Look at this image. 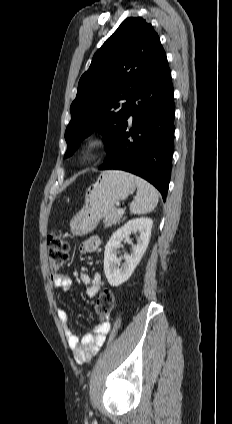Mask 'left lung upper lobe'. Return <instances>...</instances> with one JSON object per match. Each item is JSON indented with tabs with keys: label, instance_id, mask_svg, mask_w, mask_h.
I'll use <instances>...</instances> for the list:
<instances>
[{
	"label": "left lung upper lobe",
	"instance_id": "obj_1",
	"mask_svg": "<svg viewBox=\"0 0 232 424\" xmlns=\"http://www.w3.org/2000/svg\"><path fill=\"white\" fill-rule=\"evenodd\" d=\"M165 51L151 24L138 17L125 19L93 56L71 104L72 119L65 131L66 156L97 127L107 150L125 121L129 103L147 81ZM120 100L127 103L120 104Z\"/></svg>",
	"mask_w": 232,
	"mask_h": 424
}]
</instances>
